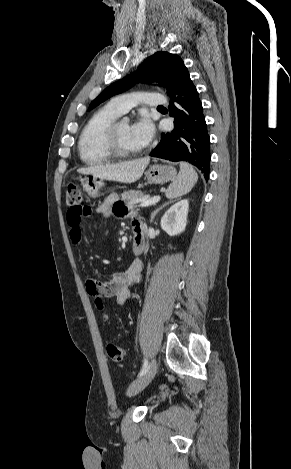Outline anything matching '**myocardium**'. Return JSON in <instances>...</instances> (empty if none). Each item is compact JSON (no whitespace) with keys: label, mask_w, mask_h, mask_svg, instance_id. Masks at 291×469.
<instances>
[{"label":"myocardium","mask_w":291,"mask_h":469,"mask_svg":"<svg viewBox=\"0 0 291 469\" xmlns=\"http://www.w3.org/2000/svg\"><path fill=\"white\" fill-rule=\"evenodd\" d=\"M122 121L116 119L112 122L106 130L105 143L107 150L112 157L116 158H128L141 153V149L138 150H126L122 148L118 139V127Z\"/></svg>","instance_id":"f54148a6"}]
</instances>
